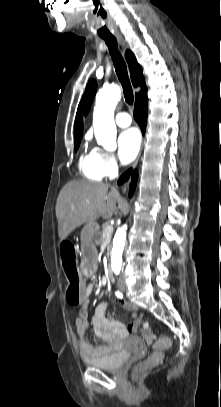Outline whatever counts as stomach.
Wrapping results in <instances>:
<instances>
[{
    "instance_id": "1",
    "label": "stomach",
    "mask_w": 221,
    "mask_h": 407,
    "mask_svg": "<svg viewBox=\"0 0 221 407\" xmlns=\"http://www.w3.org/2000/svg\"><path fill=\"white\" fill-rule=\"evenodd\" d=\"M95 265L96 257L94 255L93 250H90L89 252L87 248H83L80 264L81 273L85 276H89L94 271Z\"/></svg>"
}]
</instances>
